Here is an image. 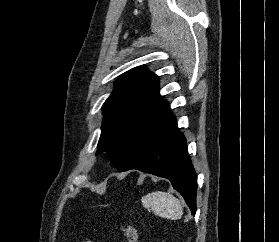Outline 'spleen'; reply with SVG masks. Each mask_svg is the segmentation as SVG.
<instances>
[{
    "instance_id": "1",
    "label": "spleen",
    "mask_w": 279,
    "mask_h": 242,
    "mask_svg": "<svg viewBox=\"0 0 279 242\" xmlns=\"http://www.w3.org/2000/svg\"><path fill=\"white\" fill-rule=\"evenodd\" d=\"M142 204L145 208H151L156 215L167 219L177 220L183 215L180 201L172 194L163 191H155L143 196Z\"/></svg>"
}]
</instances>
